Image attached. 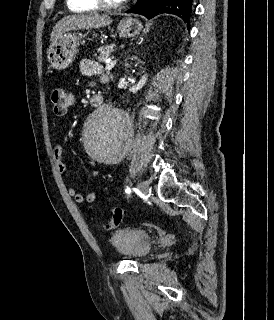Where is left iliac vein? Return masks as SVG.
Here are the masks:
<instances>
[{
  "mask_svg": "<svg viewBox=\"0 0 274 320\" xmlns=\"http://www.w3.org/2000/svg\"><path fill=\"white\" fill-rule=\"evenodd\" d=\"M137 186L143 195H148L149 185L146 181H140Z\"/></svg>",
  "mask_w": 274,
  "mask_h": 320,
  "instance_id": "4c4485c4",
  "label": "left iliac vein"
}]
</instances>
